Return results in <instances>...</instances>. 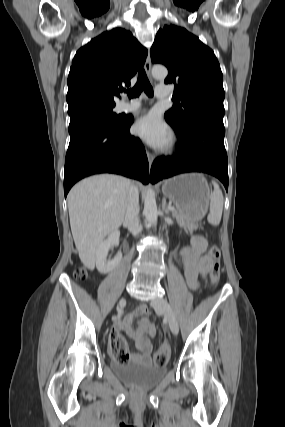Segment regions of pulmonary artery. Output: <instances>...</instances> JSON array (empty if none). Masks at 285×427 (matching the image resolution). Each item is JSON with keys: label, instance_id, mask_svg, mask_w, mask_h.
<instances>
[{"label": "pulmonary artery", "instance_id": "pulmonary-artery-1", "mask_svg": "<svg viewBox=\"0 0 285 427\" xmlns=\"http://www.w3.org/2000/svg\"><path fill=\"white\" fill-rule=\"evenodd\" d=\"M156 97L158 98H167L171 94L170 87L168 85H158L155 91ZM141 106V102L138 100H129L121 102L118 105V110L120 112H131L138 109Z\"/></svg>", "mask_w": 285, "mask_h": 427}]
</instances>
